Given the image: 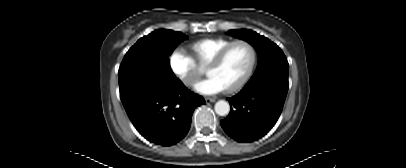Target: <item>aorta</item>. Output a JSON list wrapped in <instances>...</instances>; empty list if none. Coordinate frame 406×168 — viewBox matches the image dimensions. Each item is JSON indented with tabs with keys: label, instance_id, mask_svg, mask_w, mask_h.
<instances>
[{
	"label": "aorta",
	"instance_id": "1",
	"mask_svg": "<svg viewBox=\"0 0 406 168\" xmlns=\"http://www.w3.org/2000/svg\"><path fill=\"white\" fill-rule=\"evenodd\" d=\"M215 112L220 116H225L230 111V105L224 100H219L214 106Z\"/></svg>",
	"mask_w": 406,
	"mask_h": 168
}]
</instances>
